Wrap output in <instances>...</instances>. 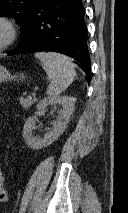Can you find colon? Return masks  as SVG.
<instances>
[{"instance_id": "obj_1", "label": "colon", "mask_w": 128, "mask_h": 213, "mask_svg": "<svg viewBox=\"0 0 128 213\" xmlns=\"http://www.w3.org/2000/svg\"><path fill=\"white\" fill-rule=\"evenodd\" d=\"M8 199V192L5 186V179L0 168V203H5Z\"/></svg>"}]
</instances>
